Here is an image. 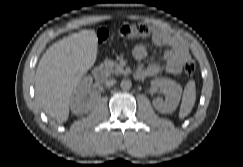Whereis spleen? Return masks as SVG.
I'll use <instances>...</instances> for the list:
<instances>
[{
	"label": "spleen",
	"mask_w": 243,
	"mask_h": 167,
	"mask_svg": "<svg viewBox=\"0 0 243 167\" xmlns=\"http://www.w3.org/2000/svg\"><path fill=\"white\" fill-rule=\"evenodd\" d=\"M196 101V85L194 80H189L185 86L182 102L179 111V117H186L192 110Z\"/></svg>",
	"instance_id": "spleen-1"
}]
</instances>
